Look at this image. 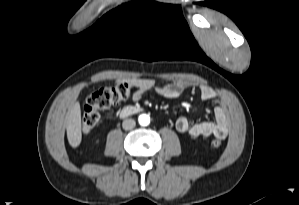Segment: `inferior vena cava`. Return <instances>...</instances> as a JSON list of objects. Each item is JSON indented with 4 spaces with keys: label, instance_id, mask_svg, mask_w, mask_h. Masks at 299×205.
<instances>
[{
    "label": "inferior vena cava",
    "instance_id": "1",
    "mask_svg": "<svg viewBox=\"0 0 299 205\" xmlns=\"http://www.w3.org/2000/svg\"><path fill=\"white\" fill-rule=\"evenodd\" d=\"M136 125V122L133 119H125L122 123V127L125 130H132Z\"/></svg>",
    "mask_w": 299,
    "mask_h": 205
}]
</instances>
